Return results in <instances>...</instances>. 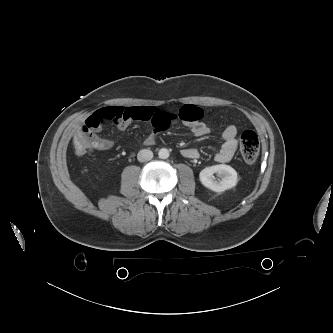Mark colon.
Segmentation results:
<instances>
[{"mask_svg": "<svg viewBox=\"0 0 333 333\" xmlns=\"http://www.w3.org/2000/svg\"><path fill=\"white\" fill-rule=\"evenodd\" d=\"M75 152L82 155L86 152L87 146L83 139L75 137L73 140ZM260 151L258 135L252 130H245L240 136V152L247 163L257 160Z\"/></svg>", "mask_w": 333, "mask_h": 333, "instance_id": "colon-1", "label": "colon"}]
</instances>
